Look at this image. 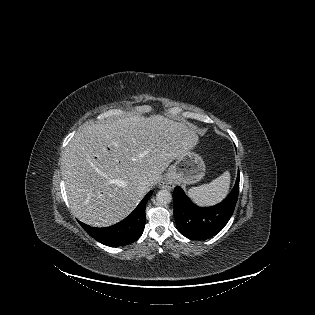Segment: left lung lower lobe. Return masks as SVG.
<instances>
[{"mask_svg": "<svg viewBox=\"0 0 315 315\" xmlns=\"http://www.w3.org/2000/svg\"><path fill=\"white\" fill-rule=\"evenodd\" d=\"M239 193V172L230 194L219 204L201 208L194 205L177 186L173 192L174 218L179 232L191 240H205L215 236L233 214Z\"/></svg>", "mask_w": 315, "mask_h": 315, "instance_id": "0a47b994", "label": "left lung lower lobe"}]
</instances>
